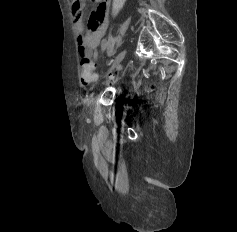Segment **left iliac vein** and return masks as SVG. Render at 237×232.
I'll list each match as a JSON object with an SVG mask.
<instances>
[{
  "instance_id": "left-iliac-vein-1",
  "label": "left iliac vein",
  "mask_w": 237,
  "mask_h": 232,
  "mask_svg": "<svg viewBox=\"0 0 237 232\" xmlns=\"http://www.w3.org/2000/svg\"><path fill=\"white\" fill-rule=\"evenodd\" d=\"M125 55H126V51L125 50L121 51L118 54V56L115 58V60H114V62L112 64V66L108 70V73L112 72L122 62V60L124 59Z\"/></svg>"
}]
</instances>
